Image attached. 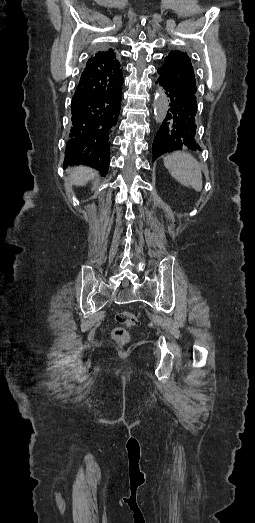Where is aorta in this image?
Here are the masks:
<instances>
[{
    "instance_id": "aorta-1",
    "label": "aorta",
    "mask_w": 255,
    "mask_h": 523,
    "mask_svg": "<svg viewBox=\"0 0 255 523\" xmlns=\"http://www.w3.org/2000/svg\"><path fill=\"white\" fill-rule=\"evenodd\" d=\"M167 96L162 87H158L154 94L153 109L156 123L161 124L168 110Z\"/></svg>"
}]
</instances>
